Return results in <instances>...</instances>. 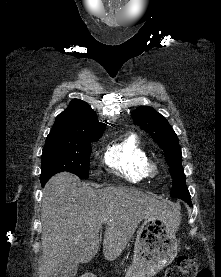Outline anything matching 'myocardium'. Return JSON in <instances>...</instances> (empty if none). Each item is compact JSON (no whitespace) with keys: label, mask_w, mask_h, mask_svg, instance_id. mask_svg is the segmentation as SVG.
I'll return each instance as SVG.
<instances>
[{"label":"myocardium","mask_w":221,"mask_h":277,"mask_svg":"<svg viewBox=\"0 0 221 277\" xmlns=\"http://www.w3.org/2000/svg\"><path fill=\"white\" fill-rule=\"evenodd\" d=\"M148 176H156L159 173V166L155 161L149 160L146 166Z\"/></svg>","instance_id":"myocardium-1"}]
</instances>
